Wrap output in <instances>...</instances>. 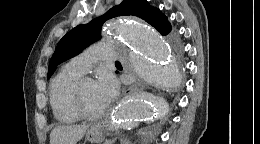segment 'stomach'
<instances>
[{
  "instance_id": "1",
  "label": "stomach",
  "mask_w": 260,
  "mask_h": 144,
  "mask_svg": "<svg viewBox=\"0 0 260 144\" xmlns=\"http://www.w3.org/2000/svg\"><path fill=\"white\" fill-rule=\"evenodd\" d=\"M86 138L91 143L98 144L102 141L103 135L100 129L93 127L87 131Z\"/></svg>"
}]
</instances>
